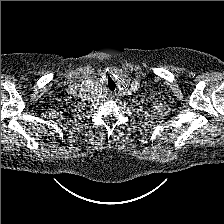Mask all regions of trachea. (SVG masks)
Wrapping results in <instances>:
<instances>
[{
	"instance_id": "3493384b",
	"label": "trachea",
	"mask_w": 224,
	"mask_h": 224,
	"mask_svg": "<svg viewBox=\"0 0 224 224\" xmlns=\"http://www.w3.org/2000/svg\"><path fill=\"white\" fill-rule=\"evenodd\" d=\"M106 88L109 90V91H114L115 88H116V83L114 82L113 79L111 78H108V81L106 82Z\"/></svg>"
}]
</instances>
